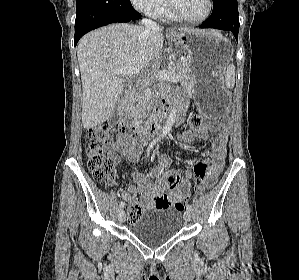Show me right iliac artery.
Instances as JSON below:
<instances>
[{
    "label": "right iliac artery",
    "mask_w": 299,
    "mask_h": 280,
    "mask_svg": "<svg viewBox=\"0 0 299 280\" xmlns=\"http://www.w3.org/2000/svg\"><path fill=\"white\" fill-rule=\"evenodd\" d=\"M155 143H156V141H153V142H151V144L149 145V148H148V155H149V151H150V149L155 145ZM124 206H125V202H123V201H121L120 202V204H119V207L120 208H124Z\"/></svg>",
    "instance_id": "right-iliac-artery-1"
}]
</instances>
